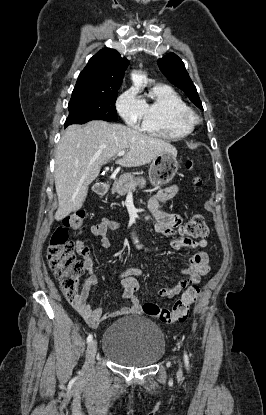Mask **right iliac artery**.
<instances>
[{"label": "right iliac artery", "instance_id": "1", "mask_svg": "<svg viewBox=\"0 0 266 415\" xmlns=\"http://www.w3.org/2000/svg\"><path fill=\"white\" fill-rule=\"evenodd\" d=\"M92 339H93V336L90 334V335L87 337V343H90V342L92 341Z\"/></svg>", "mask_w": 266, "mask_h": 415}]
</instances>
